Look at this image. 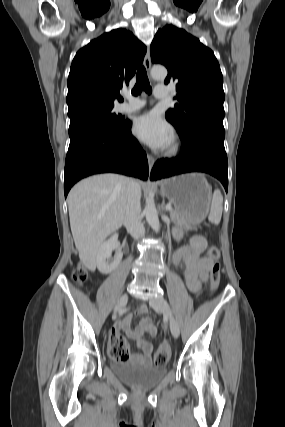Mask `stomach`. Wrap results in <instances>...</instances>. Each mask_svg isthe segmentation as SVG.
Wrapping results in <instances>:
<instances>
[{"label":"stomach","mask_w":285,"mask_h":427,"mask_svg":"<svg viewBox=\"0 0 285 427\" xmlns=\"http://www.w3.org/2000/svg\"><path fill=\"white\" fill-rule=\"evenodd\" d=\"M161 192L182 213L188 224L201 223L209 212L212 192L202 174L168 178L161 182Z\"/></svg>","instance_id":"0dacf381"}]
</instances>
